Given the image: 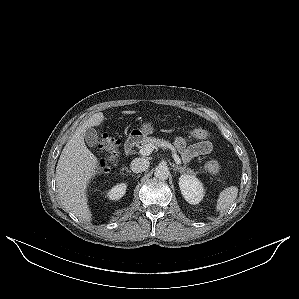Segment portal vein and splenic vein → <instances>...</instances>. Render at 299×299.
Here are the masks:
<instances>
[{
	"label": "portal vein and splenic vein",
	"instance_id": "18ae733b",
	"mask_svg": "<svg viewBox=\"0 0 299 299\" xmlns=\"http://www.w3.org/2000/svg\"><path fill=\"white\" fill-rule=\"evenodd\" d=\"M156 147L153 146L152 144H147L146 146L142 147L139 151V153L143 156H148L151 154V152L155 149ZM173 158L176 162V164L180 165L181 164V160L179 158V156L176 153H173Z\"/></svg>",
	"mask_w": 299,
	"mask_h": 299
}]
</instances>
